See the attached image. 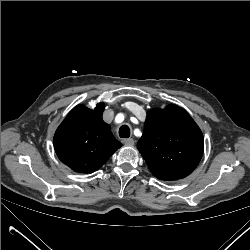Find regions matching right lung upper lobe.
<instances>
[{"instance_id":"right-lung-upper-lobe-1","label":"right lung upper lobe","mask_w":250,"mask_h":250,"mask_svg":"<svg viewBox=\"0 0 250 250\" xmlns=\"http://www.w3.org/2000/svg\"><path fill=\"white\" fill-rule=\"evenodd\" d=\"M104 107L76 106L55 132V152L75 172L93 173L122 146L102 120Z\"/></svg>"}]
</instances>
